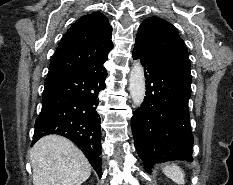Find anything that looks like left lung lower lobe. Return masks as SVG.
Instances as JSON below:
<instances>
[{"instance_id": "obj_1", "label": "left lung lower lobe", "mask_w": 233, "mask_h": 185, "mask_svg": "<svg viewBox=\"0 0 233 185\" xmlns=\"http://www.w3.org/2000/svg\"><path fill=\"white\" fill-rule=\"evenodd\" d=\"M133 58L145 67L146 96L131 118L135 147L145 169L151 172L159 162L193 161L190 67L156 57L137 44Z\"/></svg>"}]
</instances>
